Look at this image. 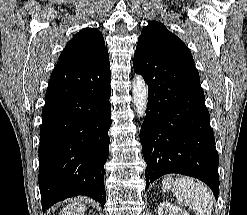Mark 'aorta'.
<instances>
[{"label":"aorta","mask_w":247,"mask_h":215,"mask_svg":"<svg viewBox=\"0 0 247 215\" xmlns=\"http://www.w3.org/2000/svg\"><path fill=\"white\" fill-rule=\"evenodd\" d=\"M132 95L135 111L138 117H145L148 103V87L141 75H135L133 79Z\"/></svg>","instance_id":"aorta-1"}]
</instances>
